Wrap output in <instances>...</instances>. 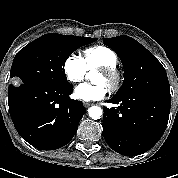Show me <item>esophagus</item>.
<instances>
[{
    "label": "esophagus",
    "mask_w": 178,
    "mask_h": 178,
    "mask_svg": "<svg viewBox=\"0 0 178 178\" xmlns=\"http://www.w3.org/2000/svg\"><path fill=\"white\" fill-rule=\"evenodd\" d=\"M91 105H92L91 103L84 102V107H85V108H88V107L91 106Z\"/></svg>",
    "instance_id": "34e87169"
}]
</instances>
